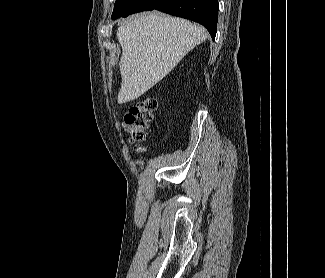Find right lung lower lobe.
<instances>
[{
	"mask_svg": "<svg viewBox=\"0 0 325 278\" xmlns=\"http://www.w3.org/2000/svg\"><path fill=\"white\" fill-rule=\"evenodd\" d=\"M153 9L200 23L215 38L219 10L217 0H135L130 14Z\"/></svg>",
	"mask_w": 325,
	"mask_h": 278,
	"instance_id": "right-lung-lower-lobe-1",
	"label": "right lung lower lobe"
}]
</instances>
